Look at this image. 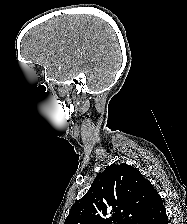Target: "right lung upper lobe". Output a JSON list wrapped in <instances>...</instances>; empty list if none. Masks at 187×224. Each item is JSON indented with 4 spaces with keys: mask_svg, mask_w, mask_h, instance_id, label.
Here are the masks:
<instances>
[{
    "mask_svg": "<svg viewBox=\"0 0 187 224\" xmlns=\"http://www.w3.org/2000/svg\"><path fill=\"white\" fill-rule=\"evenodd\" d=\"M164 213L158 192L136 168L112 164L74 203L64 224H148Z\"/></svg>",
    "mask_w": 187,
    "mask_h": 224,
    "instance_id": "cb5924a9",
    "label": "right lung upper lobe"
}]
</instances>
